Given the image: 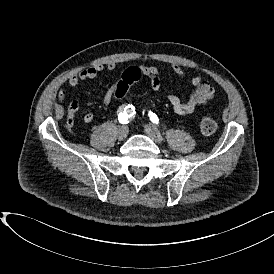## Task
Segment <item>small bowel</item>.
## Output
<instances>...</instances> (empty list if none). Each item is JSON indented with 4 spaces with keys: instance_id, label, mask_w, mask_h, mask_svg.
Returning <instances> with one entry per match:
<instances>
[{
    "instance_id": "obj_1",
    "label": "small bowel",
    "mask_w": 274,
    "mask_h": 274,
    "mask_svg": "<svg viewBox=\"0 0 274 274\" xmlns=\"http://www.w3.org/2000/svg\"><path fill=\"white\" fill-rule=\"evenodd\" d=\"M118 68L117 63L108 62L106 65H94L90 66L77 74H73L69 77V85L73 90H76L81 82L95 79L104 69L114 71ZM170 68L180 78H187L186 71L177 63H171ZM142 73L149 78L151 88L154 91H158L161 88L160 70L153 65L141 66ZM119 82V81H118ZM118 82L110 85L104 93L103 103L106 106H110L115 97ZM190 83L194 88V91L186 99H181L175 94H168V101L173 111L178 115H187L192 113L198 107L204 106L209 100H211L216 92L215 89L203 79L202 76L196 75L191 78ZM58 100L63 99V92L59 91ZM71 104L78 107V101L74 100ZM95 119L92 113H87L83 121L85 124H91Z\"/></svg>"
}]
</instances>
